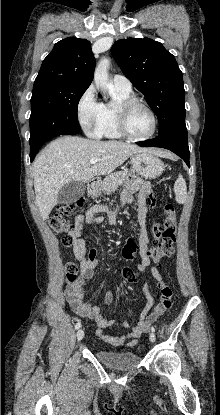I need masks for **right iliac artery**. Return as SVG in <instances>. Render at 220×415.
<instances>
[{
	"instance_id": "obj_1",
	"label": "right iliac artery",
	"mask_w": 220,
	"mask_h": 415,
	"mask_svg": "<svg viewBox=\"0 0 220 415\" xmlns=\"http://www.w3.org/2000/svg\"><path fill=\"white\" fill-rule=\"evenodd\" d=\"M81 327V323L80 322H78L76 325H75V329L77 330V329H79Z\"/></svg>"
}]
</instances>
